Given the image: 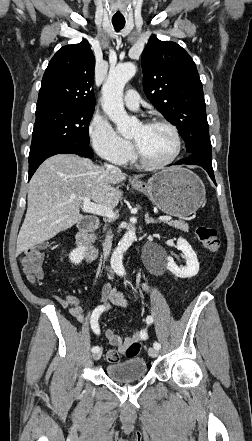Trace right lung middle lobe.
Listing matches in <instances>:
<instances>
[{
	"instance_id": "right-lung-middle-lobe-1",
	"label": "right lung middle lobe",
	"mask_w": 252,
	"mask_h": 441,
	"mask_svg": "<svg viewBox=\"0 0 252 441\" xmlns=\"http://www.w3.org/2000/svg\"><path fill=\"white\" fill-rule=\"evenodd\" d=\"M94 108L67 105L37 107L30 154L60 143H90L88 126Z\"/></svg>"
}]
</instances>
